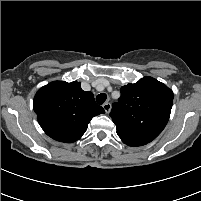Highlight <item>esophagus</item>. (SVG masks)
<instances>
[{
  "label": "esophagus",
  "instance_id": "1",
  "mask_svg": "<svg viewBox=\"0 0 201 201\" xmlns=\"http://www.w3.org/2000/svg\"><path fill=\"white\" fill-rule=\"evenodd\" d=\"M103 108L106 113H109L111 111V104L109 102H105Z\"/></svg>",
  "mask_w": 201,
  "mask_h": 201
}]
</instances>
